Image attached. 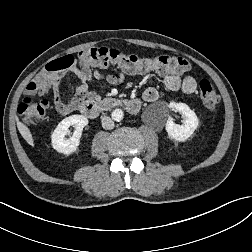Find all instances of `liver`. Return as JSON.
<instances>
[{"label": "liver", "mask_w": 252, "mask_h": 252, "mask_svg": "<svg viewBox=\"0 0 252 252\" xmlns=\"http://www.w3.org/2000/svg\"><path fill=\"white\" fill-rule=\"evenodd\" d=\"M17 128L20 134L22 135V137L26 140V142L29 145L34 146V140L30 132V129L19 120H17Z\"/></svg>", "instance_id": "liver-1"}]
</instances>
